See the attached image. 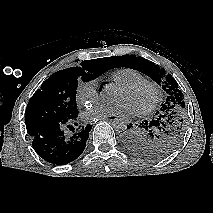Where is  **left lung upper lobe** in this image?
Here are the masks:
<instances>
[{
    "mask_svg": "<svg viewBox=\"0 0 213 213\" xmlns=\"http://www.w3.org/2000/svg\"><path fill=\"white\" fill-rule=\"evenodd\" d=\"M111 66L128 67L138 70L157 83H161L167 94L166 101L161 104L160 111L148 123V128L141 131L139 145L134 154L139 157L159 160L170 155L180 144L185 132L187 115L185 99L178 83L165 69L136 55L110 57Z\"/></svg>",
    "mask_w": 213,
    "mask_h": 213,
    "instance_id": "5c2ea615",
    "label": "left lung upper lobe"
}]
</instances>
